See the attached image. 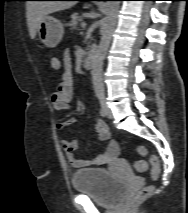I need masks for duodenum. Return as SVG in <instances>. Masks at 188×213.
<instances>
[{"label": "duodenum", "instance_id": "410a0bca", "mask_svg": "<svg viewBox=\"0 0 188 213\" xmlns=\"http://www.w3.org/2000/svg\"><path fill=\"white\" fill-rule=\"evenodd\" d=\"M96 48L93 47L89 54L86 56L84 60V67L86 69H93L96 63Z\"/></svg>", "mask_w": 188, "mask_h": 213}]
</instances>
